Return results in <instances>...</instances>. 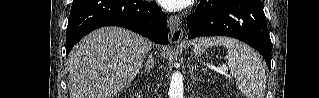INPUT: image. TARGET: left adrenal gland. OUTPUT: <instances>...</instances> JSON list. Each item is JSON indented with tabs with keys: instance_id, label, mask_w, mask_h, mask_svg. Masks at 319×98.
Masks as SVG:
<instances>
[{
	"instance_id": "1",
	"label": "left adrenal gland",
	"mask_w": 319,
	"mask_h": 98,
	"mask_svg": "<svg viewBox=\"0 0 319 98\" xmlns=\"http://www.w3.org/2000/svg\"><path fill=\"white\" fill-rule=\"evenodd\" d=\"M189 72H190V76H191L192 80H194V81H198L199 80L197 77H195L192 67L189 68Z\"/></svg>"
}]
</instances>
